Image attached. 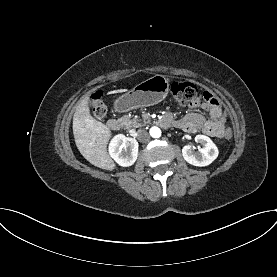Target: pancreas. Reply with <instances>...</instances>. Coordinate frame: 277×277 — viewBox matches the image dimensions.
Masks as SVG:
<instances>
[{
  "instance_id": "pancreas-1",
  "label": "pancreas",
  "mask_w": 277,
  "mask_h": 277,
  "mask_svg": "<svg viewBox=\"0 0 277 277\" xmlns=\"http://www.w3.org/2000/svg\"><path fill=\"white\" fill-rule=\"evenodd\" d=\"M124 122L126 123L128 128H138L141 127L142 124L140 123L141 119L137 116L135 117H123Z\"/></svg>"
}]
</instances>
